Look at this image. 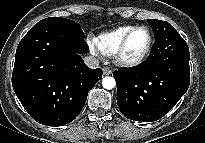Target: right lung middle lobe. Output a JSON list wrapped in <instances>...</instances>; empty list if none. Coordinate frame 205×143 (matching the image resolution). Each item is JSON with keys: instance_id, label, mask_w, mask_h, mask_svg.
Returning <instances> with one entry per match:
<instances>
[{"instance_id": "obj_1", "label": "right lung middle lobe", "mask_w": 205, "mask_h": 143, "mask_svg": "<svg viewBox=\"0 0 205 143\" xmlns=\"http://www.w3.org/2000/svg\"><path fill=\"white\" fill-rule=\"evenodd\" d=\"M40 24H53L56 25L58 27H61L71 33H73L74 35H77L79 37L84 38V32L82 31L80 25L72 20L66 19V18H62V17H50V18H46L41 20L40 22H38L36 25H40Z\"/></svg>"}]
</instances>
